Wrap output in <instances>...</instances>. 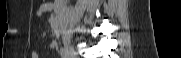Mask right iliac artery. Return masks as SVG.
Masks as SVG:
<instances>
[{
	"mask_svg": "<svg viewBox=\"0 0 181 58\" xmlns=\"http://www.w3.org/2000/svg\"><path fill=\"white\" fill-rule=\"evenodd\" d=\"M60 54H61L62 58H67V53L64 48L60 49Z\"/></svg>",
	"mask_w": 181,
	"mask_h": 58,
	"instance_id": "obj_1",
	"label": "right iliac artery"
}]
</instances>
